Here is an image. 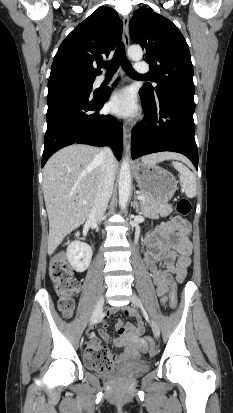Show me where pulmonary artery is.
I'll use <instances>...</instances> for the list:
<instances>
[{"label":"pulmonary artery","mask_w":233,"mask_h":413,"mask_svg":"<svg viewBox=\"0 0 233 413\" xmlns=\"http://www.w3.org/2000/svg\"><path fill=\"white\" fill-rule=\"evenodd\" d=\"M135 68H136V71L138 72V73H146L147 71H148V69H147V67L145 66V65H143L142 63H137L136 64V66H135ZM112 80H114V78L112 79ZM106 81V78L104 77V76H100L97 80H96V83L97 84H101V83H103V82H105Z\"/></svg>","instance_id":"obj_1"}]
</instances>
